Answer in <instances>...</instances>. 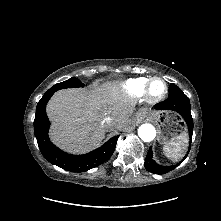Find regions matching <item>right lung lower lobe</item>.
I'll return each instance as SVG.
<instances>
[{
    "label": "right lung lower lobe",
    "instance_id": "right-lung-lower-lobe-1",
    "mask_svg": "<svg viewBox=\"0 0 221 221\" xmlns=\"http://www.w3.org/2000/svg\"><path fill=\"white\" fill-rule=\"evenodd\" d=\"M53 94L54 92H46L38 102L34 120L35 137L45 159L71 172H84L108 160L115 150L119 136L112 137L100 148L84 155L65 153L52 144L48 137L50 122L46 115V105Z\"/></svg>",
    "mask_w": 221,
    "mask_h": 221
}]
</instances>
